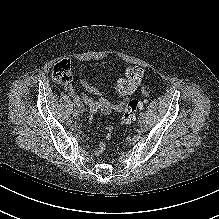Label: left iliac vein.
I'll return each instance as SVG.
<instances>
[{
	"mask_svg": "<svg viewBox=\"0 0 219 219\" xmlns=\"http://www.w3.org/2000/svg\"><path fill=\"white\" fill-rule=\"evenodd\" d=\"M138 126L142 127L145 124V115H140L137 121Z\"/></svg>",
	"mask_w": 219,
	"mask_h": 219,
	"instance_id": "left-iliac-vein-1",
	"label": "left iliac vein"
}]
</instances>
